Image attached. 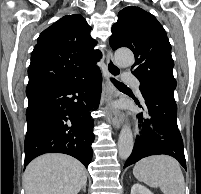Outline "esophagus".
I'll use <instances>...</instances> for the list:
<instances>
[{
	"label": "esophagus",
	"instance_id": "34e87169",
	"mask_svg": "<svg viewBox=\"0 0 201 194\" xmlns=\"http://www.w3.org/2000/svg\"><path fill=\"white\" fill-rule=\"evenodd\" d=\"M106 66H107V73H106V93H107V100H106V108L109 111L108 120L114 126V128L119 129L121 125V115L115 111L112 107V103L115 99H117V92L115 91L112 83L111 78H118L121 69L119 66L116 65L113 59V54L110 50L107 51L106 54Z\"/></svg>",
	"mask_w": 201,
	"mask_h": 194
}]
</instances>
